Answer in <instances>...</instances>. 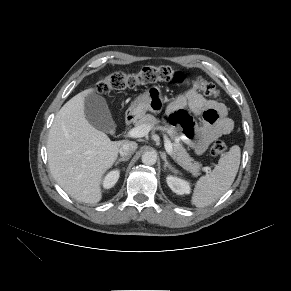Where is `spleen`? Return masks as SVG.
Listing matches in <instances>:
<instances>
[{
    "label": "spleen",
    "mask_w": 291,
    "mask_h": 291,
    "mask_svg": "<svg viewBox=\"0 0 291 291\" xmlns=\"http://www.w3.org/2000/svg\"><path fill=\"white\" fill-rule=\"evenodd\" d=\"M241 150L235 145L218 161L211 173L197 181L191 203L198 208L208 206L218 200L231 187L240 165Z\"/></svg>",
    "instance_id": "spleen-1"
}]
</instances>
